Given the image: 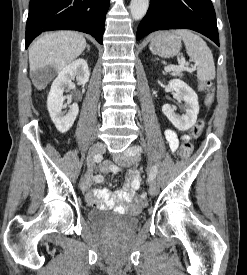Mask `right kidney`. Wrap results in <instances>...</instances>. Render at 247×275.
<instances>
[{
    "label": "right kidney",
    "mask_w": 247,
    "mask_h": 275,
    "mask_svg": "<svg viewBox=\"0 0 247 275\" xmlns=\"http://www.w3.org/2000/svg\"><path fill=\"white\" fill-rule=\"evenodd\" d=\"M89 75L87 62L84 59H78L65 66L52 83L47 98V108L51 120L61 133H66L72 127L79 112L77 103L70 105L67 112L62 111L66 107L63 93L66 88L72 86V80L75 77L78 85H85L89 80Z\"/></svg>",
    "instance_id": "right-kidney-1"
}]
</instances>
